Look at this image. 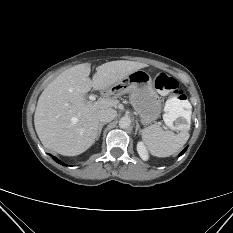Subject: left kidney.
Returning a JSON list of instances; mask_svg holds the SVG:
<instances>
[{
	"mask_svg": "<svg viewBox=\"0 0 233 233\" xmlns=\"http://www.w3.org/2000/svg\"><path fill=\"white\" fill-rule=\"evenodd\" d=\"M137 152L142 160L146 161L149 159L148 150L142 141L137 143Z\"/></svg>",
	"mask_w": 233,
	"mask_h": 233,
	"instance_id": "obj_1",
	"label": "left kidney"
}]
</instances>
